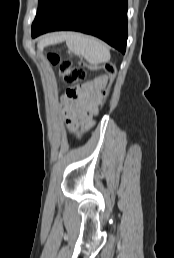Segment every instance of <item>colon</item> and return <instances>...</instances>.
Listing matches in <instances>:
<instances>
[{"instance_id":"colon-1","label":"colon","mask_w":174,"mask_h":258,"mask_svg":"<svg viewBox=\"0 0 174 258\" xmlns=\"http://www.w3.org/2000/svg\"><path fill=\"white\" fill-rule=\"evenodd\" d=\"M47 58L52 65L57 67L59 75L62 78L63 82L69 86V88L67 89V93L71 97H76L78 95L80 83L86 77V70L97 69L96 66L87 65L83 62L78 63V65H73L70 60L62 59L56 53L48 54ZM102 68L108 74L110 79L109 86L105 92L106 98L109 95L111 87L115 81L117 75V67L112 62H106L105 64H103Z\"/></svg>"}]
</instances>
